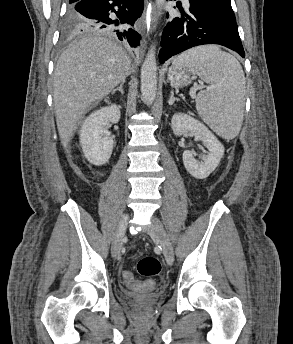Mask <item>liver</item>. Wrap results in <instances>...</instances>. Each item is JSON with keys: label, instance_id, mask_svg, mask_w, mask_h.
<instances>
[{"label": "liver", "instance_id": "6515ba94", "mask_svg": "<svg viewBox=\"0 0 293 344\" xmlns=\"http://www.w3.org/2000/svg\"><path fill=\"white\" fill-rule=\"evenodd\" d=\"M132 69L127 53L100 36L74 41L61 54L54 73L53 99L64 147L88 110L125 82Z\"/></svg>", "mask_w": 293, "mask_h": 344}]
</instances>
